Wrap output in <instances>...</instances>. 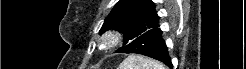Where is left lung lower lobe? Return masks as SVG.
<instances>
[{
	"instance_id": "0a47b994",
	"label": "left lung lower lobe",
	"mask_w": 246,
	"mask_h": 69,
	"mask_svg": "<svg viewBox=\"0 0 246 69\" xmlns=\"http://www.w3.org/2000/svg\"><path fill=\"white\" fill-rule=\"evenodd\" d=\"M162 31L159 26L148 30L132 42L116 50L117 53H138L159 60L172 68Z\"/></svg>"
}]
</instances>
